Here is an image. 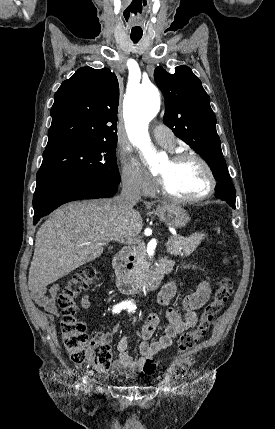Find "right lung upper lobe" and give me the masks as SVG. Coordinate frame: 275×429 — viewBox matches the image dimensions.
I'll use <instances>...</instances> for the list:
<instances>
[{
  "mask_svg": "<svg viewBox=\"0 0 275 429\" xmlns=\"http://www.w3.org/2000/svg\"><path fill=\"white\" fill-rule=\"evenodd\" d=\"M119 85L108 68L82 67L54 95L46 151L117 139Z\"/></svg>",
  "mask_w": 275,
  "mask_h": 429,
  "instance_id": "obj_1",
  "label": "right lung upper lobe"
}]
</instances>
